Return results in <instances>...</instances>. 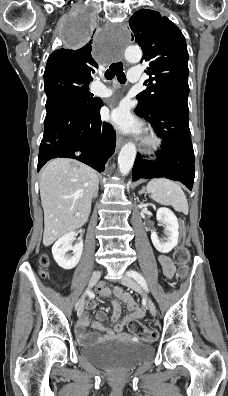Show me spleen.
I'll return each instance as SVG.
<instances>
[{"instance_id": "obj_1", "label": "spleen", "mask_w": 228, "mask_h": 396, "mask_svg": "<svg viewBox=\"0 0 228 396\" xmlns=\"http://www.w3.org/2000/svg\"><path fill=\"white\" fill-rule=\"evenodd\" d=\"M156 202L171 205L176 211L188 214L187 198L181 187L165 178L152 179L146 186Z\"/></svg>"}]
</instances>
